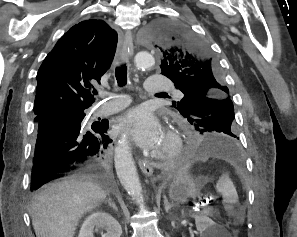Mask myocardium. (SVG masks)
I'll use <instances>...</instances> for the list:
<instances>
[{
    "mask_svg": "<svg viewBox=\"0 0 297 237\" xmlns=\"http://www.w3.org/2000/svg\"><path fill=\"white\" fill-rule=\"evenodd\" d=\"M166 145L161 150H156L153 157L161 162L177 158L183 151V138L181 133L173 127H168L165 132Z\"/></svg>",
    "mask_w": 297,
    "mask_h": 237,
    "instance_id": "obj_1",
    "label": "myocardium"
}]
</instances>
